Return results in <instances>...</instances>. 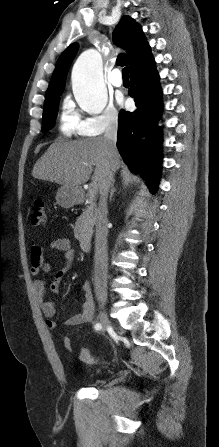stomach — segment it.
<instances>
[{
    "mask_svg": "<svg viewBox=\"0 0 219 447\" xmlns=\"http://www.w3.org/2000/svg\"><path fill=\"white\" fill-rule=\"evenodd\" d=\"M79 196L77 187L61 186L57 191L56 200L61 207L70 208L77 203Z\"/></svg>",
    "mask_w": 219,
    "mask_h": 447,
    "instance_id": "stomach-1",
    "label": "stomach"
}]
</instances>
